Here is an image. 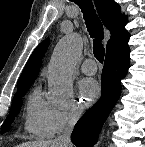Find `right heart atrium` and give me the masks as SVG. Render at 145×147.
I'll list each match as a JSON object with an SVG mask.
<instances>
[{
	"label": "right heart atrium",
	"mask_w": 145,
	"mask_h": 147,
	"mask_svg": "<svg viewBox=\"0 0 145 147\" xmlns=\"http://www.w3.org/2000/svg\"><path fill=\"white\" fill-rule=\"evenodd\" d=\"M82 115V107L78 102L72 101L64 107H55L52 114L54 133H61L74 125Z\"/></svg>",
	"instance_id": "obj_1"
}]
</instances>
